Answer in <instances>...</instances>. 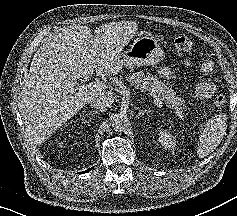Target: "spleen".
<instances>
[{"label": "spleen", "instance_id": "obj_1", "mask_svg": "<svg viewBox=\"0 0 237 216\" xmlns=\"http://www.w3.org/2000/svg\"><path fill=\"white\" fill-rule=\"evenodd\" d=\"M216 133L210 130V128H202L201 132L199 133L198 140L196 147L198 150H202L208 148L210 145L216 142Z\"/></svg>", "mask_w": 237, "mask_h": 216}]
</instances>
